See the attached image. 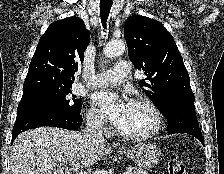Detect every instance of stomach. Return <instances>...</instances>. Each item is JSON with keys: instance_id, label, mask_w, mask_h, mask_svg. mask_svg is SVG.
I'll list each match as a JSON object with an SVG mask.
<instances>
[{"instance_id": "stomach-1", "label": "stomach", "mask_w": 224, "mask_h": 174, "mask_svg": "<svg viewBox=\"0 0 224 174\" xmlns=\"http://www.w3.org/2000/svg\"><path fill=\"white\" fill-rule=\"evenodd\" d=\"M124 153L132 160L134 163L144 169H150L157 165L161 160V152L156 147V145L151 143H140L127 149Z\"/></svg>"}]
</instances>
